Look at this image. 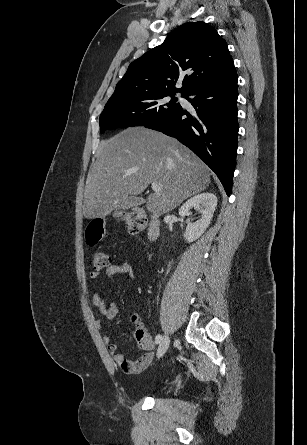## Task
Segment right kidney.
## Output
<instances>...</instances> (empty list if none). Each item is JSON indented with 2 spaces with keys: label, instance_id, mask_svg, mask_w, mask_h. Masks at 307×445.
I'll list each match as a JSON object with an SVG mask.
<instances>
[{
  "label": "right kidney",
  "instance_id": "ca27d5eb",
  "mask_svg": "<svg viewBox=\"0 0 307 445\" xmlns=\"http://www.w3.org/2000/svg\"><path fill=\"white\" fill-rule=\"evenodd\" d=\"M217 196L213 192H201V194H196L192 198H188L181 208H179L180 216H188L190 214V208H197L202 212L201 218L196 220V223H188L185 231V239L189 243H193L196 239H199L206 229L210 225V220L213 216V212L217 206Z\"/></svg>",
  "mask_w": 307,
  "mask_h": 445
}]
</instances>
